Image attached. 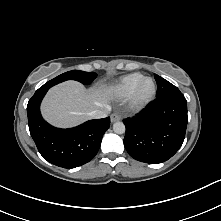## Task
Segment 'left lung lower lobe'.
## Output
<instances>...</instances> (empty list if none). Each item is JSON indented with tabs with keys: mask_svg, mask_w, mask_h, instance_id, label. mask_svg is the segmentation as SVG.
<instances>
[{
	"mask_svg": "<svg viewBox=\"0 0 221 221\" xmlns=\"http://www.w3.org/2000/svg\"><path fill=\"white\" fill-rule=\"evenodd\" d=\"M187 121V101L182 93L157 98L136 117L123 120L124 146L138 161L165 162L181 147Z\"/></svg>",
	"mask_w": 221,
	"mask_h": 221,
	"instance_id": "0a47b994",
	"label": "left lung lower lobe"
}]
</instances>
